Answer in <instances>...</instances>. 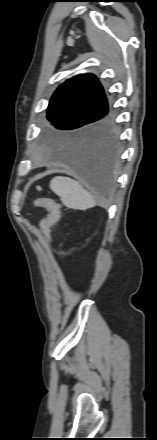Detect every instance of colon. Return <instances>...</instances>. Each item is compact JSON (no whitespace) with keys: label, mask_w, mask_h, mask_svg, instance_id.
<instances>
[{"label":"colon","mask_w":157,"mask_h":440,"mask_svg":"<svg viewBox=\"0 0 157 440\" xmlns=\"http://www.w3.org/2000/svg\"><path fill=\"white\" fill-rule=\"evenodd\" d=\"M35 204L47 211V216L41 221V230L44 236L50 238V230L60 219V206L54 200L47 197H40L35 200Z\"/></svg>","instance_id":"1"}]
</instances>
